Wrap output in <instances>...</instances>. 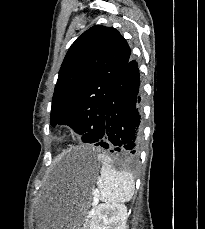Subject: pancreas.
Masks as SVG:
<instances>
[{
	"instance_id": "cf45deb5",
	"label": "pancreas",
	"mask_w": 205,
	"mask_h": 229,
	"mask_svg": "<svg viewBox=\"0 0 205 229\" xmlns=\"http://www.w3.org/2000/svg\"><path fill=\"white\" fill-rule=\"evenodd\" d=\"M88 226H89V223H86V224H85V227L87 228Z\"/></svg>"
}]
</instances>
